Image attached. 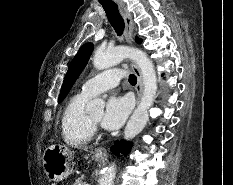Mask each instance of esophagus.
<instances>
[{
	"mask_svg": "<svg viewBox=\"0 0 233 185\" xmlns=\"http://www.w3.org/2000/svg\"><path fill=\"white\" fill-rule=\"evenodd\" d=\"M119 8H120L121 15L124 19L125 26H126V34H125L126 40L129 44H132L133 38H134V23L132 20V16L122 3L119 4ZM131 67L137 76V85H136L137 100H136V103L138 104L140 101L141 95H142V91H143V79H142L141 71L134 61L131 62ZM95 153L97 155H103V156L107 155V151L105 148H97L95 150Z\"/></svg>",
	"mask_w": 233,
	"mask_h": 185,
	"instance_id": "34e87169",
	"label": "esophagus"
}]
</instances>
